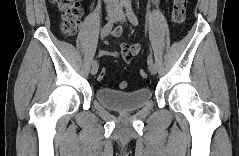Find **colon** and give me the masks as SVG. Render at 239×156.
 <instances>
[{
    "label": "colon",
    "instance_id": "1",
    "mask_svg": "<svg viewBox=\"0 0 239 156\" xmlns=\"http://www.w3.org/2000/svg\"><path fill=\"white\" fill-rule=\"evenodd\" d=\"M188 0H174L173 10H172V20L176 24H182L185 20L186 10H187ZM56 7L61 13L62 23L61 29L66 35L74 34L80 25V18L82 15V10L80 5L75 0H58L56 1ZM107 75V71L103 68L99 75V80H104ZM141 78H147V72L142 69L140 71ZM128 83L122 81L120 83L121 89H126Z\"/></svg>",
    "mask_w": 239,
    "mask_h": 156
}]
</instances>
